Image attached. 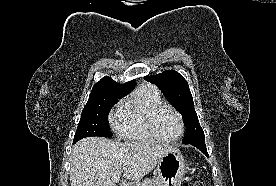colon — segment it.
Listing matches in <instances>:
<instances>
[{"label":"colon","mask_w":276,"mask_h":186,"mask_svg":"<svg viewBox=\"0 0 276 186\" xmlns=\"http://www.w3.org/2000/svg\"><path fill=\"white\" fill-rule=\"evenodd\" d=\"M181 186H205V183L198 176H190L185 179Z\"/></svg>","instance_id":"1"}]
</instances>
